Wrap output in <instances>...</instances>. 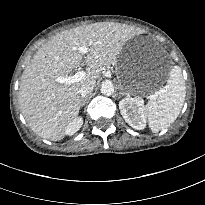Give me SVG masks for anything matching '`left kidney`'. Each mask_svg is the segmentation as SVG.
<instances>
[{"mask_svg":"<svg viewBox=\"0 0 205 205\" xmlns=\"http://www.w3.org/2000/svg\"><path fill=\"white\" fill-rule=\"evenodd\" d=\"M120 113L134 129L142 130L146 126L144 101L141 98L126 97L119 102Z\"/></svg>","mask_w":205,"mask_h":205,"instance_id":"5707ae66","label":"left kidney"}]
</instances>
